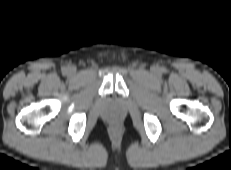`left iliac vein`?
I'll return each instance as SVG.
<instances>
[{
  "label": "left iliac vein",
  "instance_id": "4c4485c4",
  "mask_svg": "<svg viewBox=\"0 0 231 170\" xmlns=\"http://www.w3.org/2000/svg\"><path fill=\"white\" fill-rule=\"evenodd\" d=\"M153 73H154V74H158V73H159L158 68H154V69H153Z\"/></svg>",
  "mask_w": 231,
  "mask_h": 170
}]
</instances>
